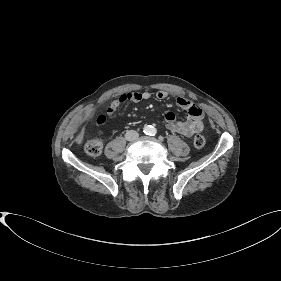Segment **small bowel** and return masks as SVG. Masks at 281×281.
Returning a JSON list of instances; mask_svg holds the SVG:
<instances>
[{"label": "small bowel", "instance_id": "obj_1", "mask_svg": "<svg viewBox=\"0 0 281 281\" xmlns=\"http://www.w3.org/2000/svg\"><path fill=\"white\" fill-rule=\"evenodd\" d=\"M168 94L165 91L156 92L158 100L167 99ZM151 98L148 91L128 92L120 94L115 100L106 105V112L112 116L116 110L125 102H142ZM176 104L187 112L188 119L180 121L173 112L165 114L166 128L174 133L181 134L185 137H191L200 133L204 128V111L203 109L185 97L178 96L175 99Z\"/></svg>", "mask_w": 281, "mask_h": 281}]
</instances>
